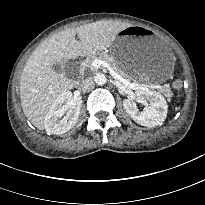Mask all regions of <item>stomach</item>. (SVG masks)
I'll use <instances>...</instances> for the list:
<instances>
[{"mask_svg":"<svg viewBox=\"0 0 205 205\" xmlns=\"http://www.w3.org/2000/svg\"><path fill=\"white\" fill-rule=\"evenodd\" d=\"M107 51L119 68L136 82L161 83L174 68L171 48L144 26L130 25L122 29Z\"/></svg>","mask_w":205,"mask_h":205,"instance_id":"stomach-1","label":"stomach"}]
</instances>
